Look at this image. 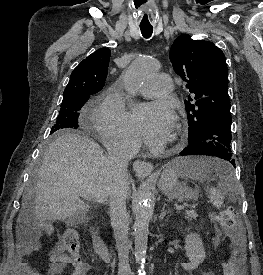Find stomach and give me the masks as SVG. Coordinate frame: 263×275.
Returning a JSON list of instances; mask_svg holds the SVG:
<instances>
[{
    "label": "stomach",
    "mask_w": 263,
    "mask_h": 275,
    "mask_svg": "<svg viewBox=\"0 0 263 275\" xmlns=\"http://www.w3.org/2000/svg\"><path fill=\"white\" fill-rule=\"evenodd\" d=\"M177 172L175 168L169 165L161 175L159 181V188L167 195L169 198H178L180 200L193 199L196 196V191L188 188L186 185L178 182Z\"/></svg>",
    "instance_id": "stomach-1"
}]
</instances>
